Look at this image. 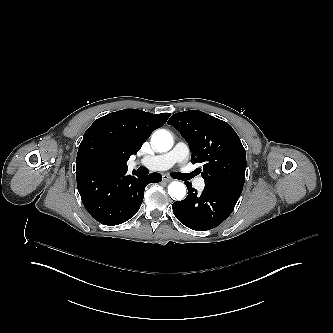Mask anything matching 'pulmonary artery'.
Instances as JSON below:
<instances>
[{"label": "pulmonary artery", "instance_id": "pulmonary-artery-1", "mask_svg": "<svg viewBox=\"0 0 333 333\" xmlns=\"http://www.w3.org/2000/svg\"><path fill=\"white\" fill-rule=\"evenodd\" d=\"M181 144H183V142H178L173 149L166 151L165 155L162 157L157 155L156 158L153 159L149 157L145 158L143 162L145 169L149 171L156 169L166 170L172 162L179 163L180 167L183 169L185 167L184 163L187 162L191 150L188 145ZM183 155H185V157ZM138 163L139 160H134L130 163V166L135 167ZM193 187L196 190H201L204 187V182L201 179H196L193 182Z\"/></svg>", "mask_w": 333, "mask_h": 333}]
</instances>
